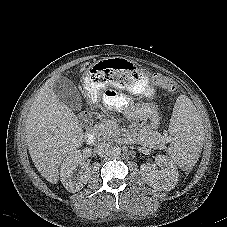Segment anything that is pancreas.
<instances>
[{
	"mask_svg": "<svg viewBox=\"0 0 227 227\" xmlns=\"http://www.w3.org/2000/svg\"><path fill=\"white\" fill-rule=\"evenodd\" d=\"M116 133L117 131L112 128V125L108 121H104L94 126V134L99 139L110 140Z\"/></svg>",
	"mask_w": 227,
	"mask_h": 227,
	"instance_id": "obj_1",
	"label": "pancreas"
}]
</instances>
